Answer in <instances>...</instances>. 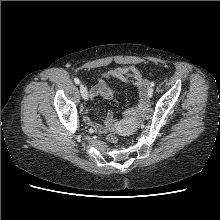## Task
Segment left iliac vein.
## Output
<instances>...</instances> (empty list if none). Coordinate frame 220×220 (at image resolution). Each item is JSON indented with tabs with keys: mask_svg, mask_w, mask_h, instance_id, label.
<instances>
[{
	"mask_svg": "<svg viewBox=\"0 0 220 220\" xmlns=\"http://www.w3.org/2000/svg\"><path fill=\"white\" fill-rule=\"evenodd\" d=\"M153 93H154V89L152 87H150L148 89V98H151L153 96Z\"/></svg>",
	"mask_w": 220,
	"mask_h": 220,
	"instance_id": "1",
	"label": "left iliac vein"
}]
</instances>
